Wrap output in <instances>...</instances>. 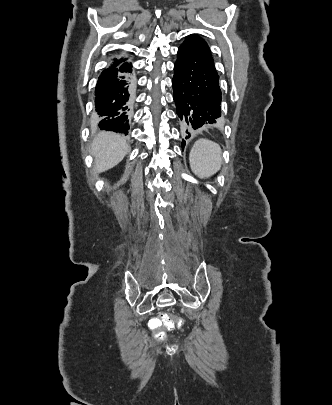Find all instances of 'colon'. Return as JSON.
Masks as SVG:
<instances>
[{"mask_svg": "<svg viewBox=\"0 0 332 405\" xmlns=\"http://www.w3.org/2000/svg\"><path fill=\"white\" fill-rule=\"evenodd\" d=\"M152 323L155 324V331L157 335H163L166 331H171L174 329V321L167 315H153ZM181 322L186 324L189 322V317L184 315L181 317Z\"/></svg>", "mask_w": 332, "mask_h": 405, "instance_id": "1", "label": "colon"}]
</instances>
